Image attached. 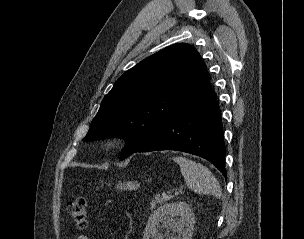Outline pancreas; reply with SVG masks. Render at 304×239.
Segmentation results:
<instances>
[{
  "label": "pancreas",
  "instance_id": "cf45deb5",
  "mask_svg": "<svg viewBox=\"0 0 304 239\" xmlns=\"http://www.w3.org/2000/svg\"><path fill=\"white\" fill-rule=\"evenodd\" d=\"M171 199V196H160V195H156L154 197V199L152 200V202L150 203L151 209H154L158 204H162L163 202H167L168 200Z\"/></svg>",
  "mask_w": 304,
  "mask_h": 239
}]
</instances>
